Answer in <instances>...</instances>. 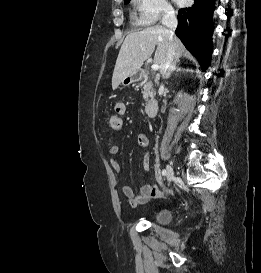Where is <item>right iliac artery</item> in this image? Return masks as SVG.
I'll list each match as a JSON object with an SVG mask.
<instances>
[{
  "mask_svg": "<svg viewBox=\"0 0 261 273\" xmlns=\"http://www.w3.org/2000/svg\"><path fill=\"white\" fill-rule=\"evenodd\" d=\"M162 175L165 176L166 175V170H162Z\"/></svg>",
  "mask_w": 261,
  "mask_h": 273,
  "instance_id": "82829eb1",
  "label": "right iliac artery"
}]
</instances>
